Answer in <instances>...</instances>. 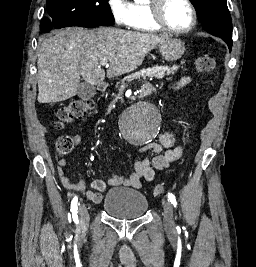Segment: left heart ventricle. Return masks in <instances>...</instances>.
<instances>
[{"label": "left heart ventricle", "instance_id": "obj_1", "mask_svg": "<svg viewBox=\"0 0 256 267\" xmlns=\"http://www.w3.org/2000/svg\"><path fill=\"white\" fill-rule=\"evenodd\" d=\"M163 18L169 26L177 30H183L191 24V12L189 7L180 0H169L164 5ZM141 31L150 30L151 25L144 22Z\"/></svg>", "mask_w": 256, "mask_h": 267}]
</instances>
